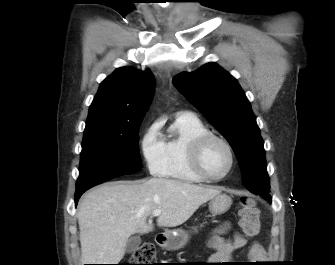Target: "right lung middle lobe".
Returning <instances> with one entry per match:
<instances>
[{
    "label": "right lung middle lobe",
    "instance_id": "right-lung-middle-lobe-1",
    "mask_svg": "<svg viewBox=\"0 0 335 265\" xmlns=\"http://www.w3.org/2000/svg\"><path fill=\"white\" fill-rule=\"evenodd\" d=\"M140 123L120 132L84 134L76 192L141 170L138 147Z\"/></svg>",
    "mask_w": 335,
    "mask_h": 265
}]
</instances>
